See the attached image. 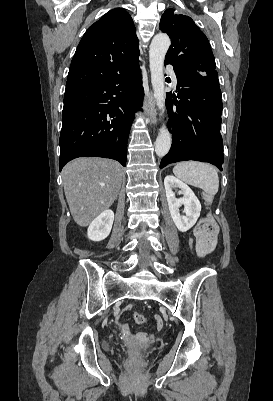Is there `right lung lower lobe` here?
<instances>
[{
    "mask_svg": "<svg viewBox=\"0 0 273 401\" xmlns=\"http://www.w3.org/2000/svg\"><path fill=\"white\" fill-rule=\"evenodd\" d=\"M143 91L139 60L104 82L64 97L60 171L77 157H104L126 165L127 141ZM143 96V94H140Z\"/></svg>",
    "mask_w": 273,
    "mask_h": 401,
    "instance_id": "obj_1",
    "label": "right lung lower lobe"
}]
</instances>
